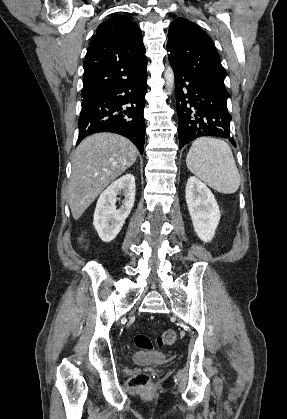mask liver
I'll return each instance as SVG.
<instances>
[{
    "instance_id": "6515ba94",
    "label": "liver",
    "mask_w": 287,
    "mask_h": 419,
    "mask_svg": "<svg viewBox=\"0 0 287 419\" xmlns=\"http://www.w3.org/2000/svg\"><path fill=\"white\" fill-rule=\"evenodd\" d=\"M138 151L127 138L97 133L85 138L72 157L68 202L78 220L99 194L136 161Z\"/></svg>"
}]
</instances>
